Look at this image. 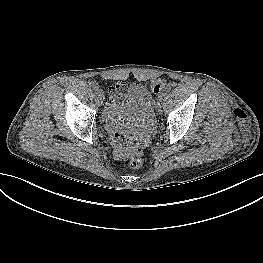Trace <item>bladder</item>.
Segmentation results:
<instances>
[{"label":"bladder","instance_id":"bladder-1","mask_svg":"<svg viewBox=\"0 0 263 263\" xmlns=\"http://www.w3.org/2000/svg\"><path fill=\"white\" fill-rule=\"evenodd\" d=\"M128 104L125 106L124 115L126 118H133L136 114L143 110L144 103H142L141 98L139 96L133 95L129 99H127ZM117 111V109H115Z\"/></svg>","mask_w":263,"mask_h":263}]
</instances>
